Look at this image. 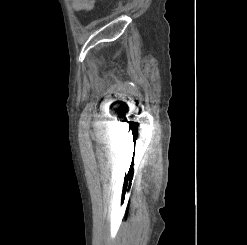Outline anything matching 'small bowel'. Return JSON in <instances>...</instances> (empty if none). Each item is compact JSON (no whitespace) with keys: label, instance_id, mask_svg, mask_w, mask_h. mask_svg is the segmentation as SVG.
Returning <instances> with one entry per match:
<instances>
[{"label":"small bowel","instance_id":"small-bowel-1","mask_svg":"<svg viewBox=\"0 0 247 245\" xmlns=\"http://www.w3.org/2000/svg\"><path fill=\"white\" fill-rule=\"evenodd\" d=\"M97 1L99 0H71V5L75 11L83 12L92 9Z\"/></svg>","mask_w":247,"mask_h":245}]
</instances>
